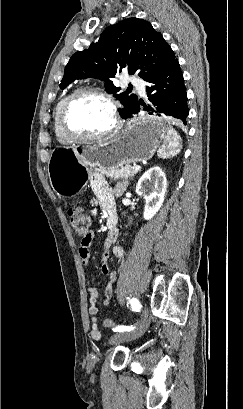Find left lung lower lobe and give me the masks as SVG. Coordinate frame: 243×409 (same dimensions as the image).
<instances>
[{"label": "left lung lower lobe", "instance_id": "1", "mask_svg": "<svg viewBox=\"0 0 243 409\" xmlns=\"http://www.w3.org/2000/svg\"><path fill=\"white\" fill-rule=\"evenodd\" d=\"M146 81L149 83L147 95L150 104L138 100L123 118H131L133 114L144 110L153 116H172L186 125L189 114L187 93L178 60L175 59Z\"/></svg>", "mask_w": 243, "mask_h": 409}]
</instances>
